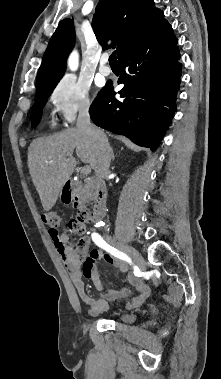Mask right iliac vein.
I'll return each instance as SVG.
<instances>
[{"label": "right iliac vein", "mask_w": 221, "mask_h": 379, "mask_svg": "<svg viewBox=\"0 0 221 379\" xmlns=\"http://www.w3.org/2000/svg\"><path fill=\"white\" fill-rule=\"evenodd\" d=\"M111 242L116 246L118 247L119 249H121L122 251L126 252L128 255H130L134 261L142 268L144 269V265H145V262H144V259L142 257V255L136 250L134 249L133 247L129 246V245H126L124 243H121L119 241H117L116 238H112L111 239Z\"/></svg>", "instance_id": "right-iliac-vein-1"}]
</instances>
